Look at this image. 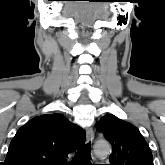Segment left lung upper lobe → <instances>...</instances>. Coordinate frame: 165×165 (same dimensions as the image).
I'll return each instance as SVG.
<instances>
[{"instance_id":"left-lung-upper-lobe-1","label":"left lung upper lobe","mask_w":165,"mask_h":165,"mask_svg":"<svg viewBox=\"0 0 165 165\" xmlns=\"http://www.w3.org/2000/svg\"><path fill=\"white\" fill-rule=\"evenodd\" d=\"M97 129L112 145L110 165H153L147 142L132 124L114 115H105Z\"/></svg>"}]
</instances>
